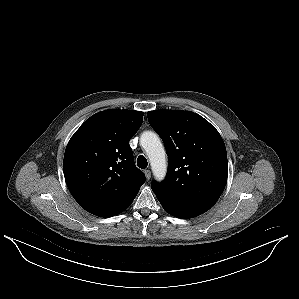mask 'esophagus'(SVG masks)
Wrapping results in <instances>:
<instances>
[{
  "label": "esophagus",
  "mask_w": 299,
  "mask_h": 299,
  "mask_svg": "<svg viewBox=\"0 0 299 299\" xmlns=\"http://www.w3.org/2000/svg\"><path fill=\"white\" fill-rule=\"evenodd\" d=\"M144 174H145V176H146V179H147V180H150V178H151V171H150V170H145V171H144Z\"/></svg>",
  "instance_id": "obj_1"
}]
</instances>
